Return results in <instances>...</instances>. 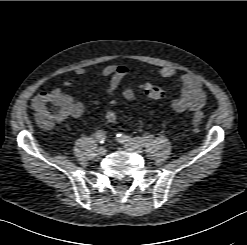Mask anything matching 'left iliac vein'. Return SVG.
I'll list each match as a JSON object with an SVG mask.
<instances>
[{
  "label": "left iliac vein",
  "mask_w": 247,
  "mask_h": 245,
  "mask_svg": "<svg viewBox=\"0 0 247 245\" xmlns=\"http://www.w3.org/2000/svg\"><path fill=\"white\" fill-rule=\"evenodd\" d=\"M123 145H124L125 149L130 151V152H134V153H142L143 152V149L141 146L133 145V144L125 143V142H123Z\"/></svg>",
  "instance_id": "1"
}]
</instances>
